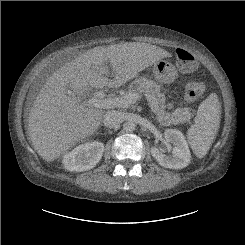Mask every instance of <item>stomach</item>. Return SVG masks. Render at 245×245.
<instances>
[{
    "label": "stomach",
    "instance_id": "0dacf381",
    "mask_svg": "<svg viewBox=\"0 0 245 245\" xmlns=\"http://www.w3.org/2000/svg\"><path fill=\"white\" fill-rule=\"evenodd\" d=\"M153 75L157 82L170 84L177 77V70L173 64L166 60H159L153 65Z\"/></svg>",
    "mask_w": 245,
    "mask_h": 245
}]
</instances>
